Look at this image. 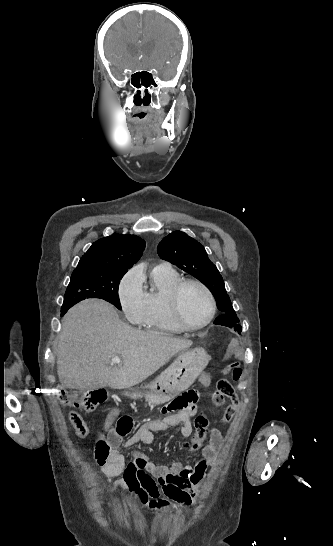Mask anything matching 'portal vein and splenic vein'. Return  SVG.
<instances>
[{
  "instance_id": "portal-vein-and-splenic-vein-1",
  "label": "portal vein and splenic vein",
  "mask_w": 333,
  "mask_h": 546,
  "mask_svg": "<svg viewBox=\"0 0 333 546\" xmlns=\"http://www.w3.org/2000/svg\"><path fill=\"white\" fill-rule=\"evenodd\" d=\"M111 362L119 364L121 362V359L119 356H113Z\"/></svg>"
}]
</instances>
